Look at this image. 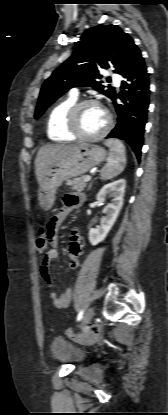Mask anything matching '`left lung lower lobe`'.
<instances>
[{
  "label": "left lung lower lobe",
  "mask_w": 168,
  "mask_h": 415,
  "mask_svg": "<svg viewBox=\"0 0 168 415\" xmlns=\"http://www.w3.org/2000/svg\"><path fill=\"white\" fill-rule=\"evenodd\" d=\"M122 77L121 92H115L111 99L117 112V123L106 138L126 141L140 160L150 92L149 75L141 52L135 56ZM117 98L123 103H116Z\"/></svg>",
  "instance_id": "1"
}]
</instances>
